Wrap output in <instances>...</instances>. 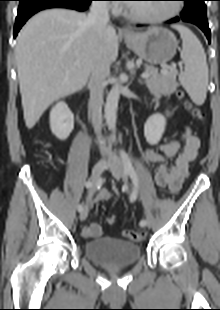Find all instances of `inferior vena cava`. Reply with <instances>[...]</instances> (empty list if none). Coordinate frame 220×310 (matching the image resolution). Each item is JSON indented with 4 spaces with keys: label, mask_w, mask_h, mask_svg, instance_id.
<instances>
[{
    "label": "inferior vena cava",
    "mask_w": 220,
    "mask_h": 310,
    "mask_svg": "<svg viewBox=\"0 0 220 310\" xmlns=\"http://www.w3.org/2000/svg\"><path fill=\"white\" fill-rule=\"evenodd\" d=\"M87 22L94 28L99 38L102 37L104 30L109 22V6L105 1H93L90 12L87 16ZM110 72V62L102 50L99 41V47L93 56V65L91 68L89 89H90V117L96 134L101 133L102 128V105L103 90L106 77ZM102 153H110L111 150L101 146Z\"/></svg>",
    "instance_id": "1"
}]
</instances>
